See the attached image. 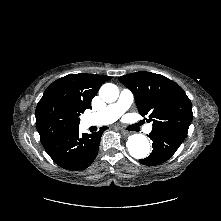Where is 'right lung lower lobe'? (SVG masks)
I'll use <instances>...</instances> for the list:
<instances>
[{
    "label": "right lung lower lobe",
    "instance_id": "obj_1",
    "mask_svg": "<svg viewBox=\"0 0 221 221\" xmlns=\"http://www.w3.org/2000/svg\"><path fill=\"white\" fill-rule=\"evenodd\" d=\"M104 129L106 127L99 132L82 135L77 129L43 143V146L60 167L70 171L83 170L89 167L96 158Z\"/></svg>",
    "mask_w": 221,
    "mask_h": 221
}]
</instances>
